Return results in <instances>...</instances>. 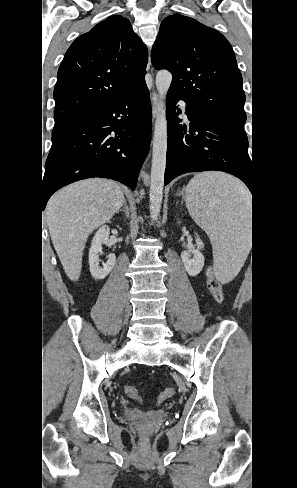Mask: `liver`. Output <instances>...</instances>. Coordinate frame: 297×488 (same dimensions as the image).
<instances>
[{"mask_svg":"<svg viewBox=\"0 0 297 488\" xmlns=\"http://www.w3.org/2000/svg\"><path fill=\"white\" fill-rule=\"evenodd\" d=\"M121 187L110 180L92 178L64 187L46 206L53 246L66 275L79 279L89 235L108 222L124 202Z\"/></svg>","mask_w":297,"mask_h":488,"instance_id":"liver-1","label":"liver"}]
</instances>
